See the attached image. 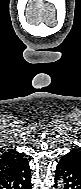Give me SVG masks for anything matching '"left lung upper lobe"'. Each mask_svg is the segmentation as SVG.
Wrapping results in <instances>:
<instances>
[{
    "instance_id": "5c2ea615",
    "label": "left lung upper lobe",
    "mask_w": 81,
    "mask_h": 189,
    "mask_svg": "<svg viewBox=\"0 0 81 189\" xmlns=\"http://www.w3.org/2000/svg\"><path fill=\"white\" fill-rule=\"evenodd\" d=\"M68 155L72 156V158L76 161V163H78V165L81 166V152L73 149L71 150L70 153H68Z\"/></svg>"
}]
</instances>
